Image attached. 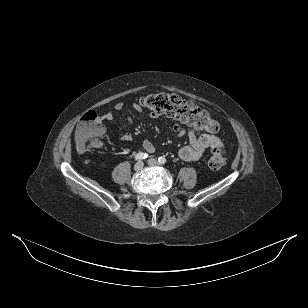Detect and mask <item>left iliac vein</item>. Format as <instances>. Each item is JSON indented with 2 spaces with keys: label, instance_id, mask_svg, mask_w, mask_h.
<instances>
[{
  "label": "left iliac vein",
  "instance_id": "1",
  "mask_svg": "<svg viewBox=\"0 0 308 308\" xmlns=\"http://www.w3.org/2000/svg\"><path fill=\"white\" fill-rule=\"evenodd\" d=\"M148 164H149L150 166H157V165H159L157 159H155V158H150V159L148 160Z\"/></svg>",
  "mask_w": 308,
  "mask_h": 308
}]
</instances>
